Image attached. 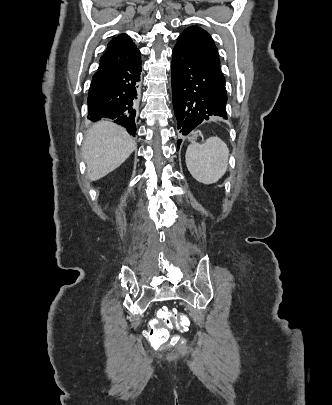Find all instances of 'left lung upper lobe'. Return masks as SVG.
<instances>
[{"label": "left lung upper lobe", "instance_id": "1", "mask_svg": "<svg viewBox=\"0 0 332 405\" xmlns=\"http://www.w3.org/2000/svg\"><path fill=\"white\" fill-rule=\"evenodd\" d=\"M176 46L209 65L225 80L220 68L218 50L205 30L196 26L188 27L177 38Z\"/></svg>", "mask_w": 332, "mask_h": 405}]
</instances>
